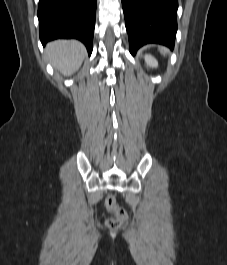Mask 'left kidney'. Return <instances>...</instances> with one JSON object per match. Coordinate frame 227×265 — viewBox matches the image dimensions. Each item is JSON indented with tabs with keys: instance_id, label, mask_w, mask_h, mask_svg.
<instances>
[{
	"instance_id": "1",
	"label": "left kidney",
	"mask_w": 227,
	"mask_h": 265,
	"mask_svg": "<svg viewBox=\"0 0 227 265\" xmlns=\"http://www.w3.org/2000/svg\"><path fill=\"white\" fill-rule=\"evenodd\" d=\"M144 60H145L147 66L152 67V68L158 67V62L153 56L145 55Z\"/></svg>"
}]
</instances>
